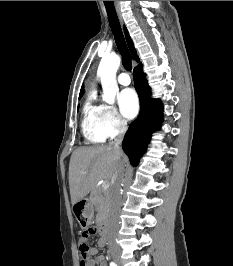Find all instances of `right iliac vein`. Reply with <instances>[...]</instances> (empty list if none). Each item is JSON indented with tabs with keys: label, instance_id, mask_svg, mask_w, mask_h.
<instances>
[{
	"label": "right iliac vein",
	"instance_id": "obj_1",
	"mask_svg": "<svg viewBox=\"0 0 233 266\" xmlns=\"http://www.w3.org/2000/svg\"><path fill=\"white\" fill-rule=\"evenodd\" d=\"M111 254L115 262L118 264V266H120V257L118 251L114 250Z\"/></svg>",
	"mask_w": 233,
	"mask_h": 266
}]
</instances>
